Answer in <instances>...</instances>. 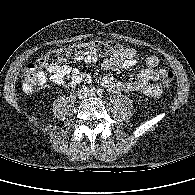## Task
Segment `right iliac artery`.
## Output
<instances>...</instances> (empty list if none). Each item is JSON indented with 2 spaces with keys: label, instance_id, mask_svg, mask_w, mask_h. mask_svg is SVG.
Segmentation results:
<instances>
[{
  "label": "right iliac artery",
  "instance_id": "1",
  "mask_svg": "<svg viewBox=\"0 0 195 195\" xmlns=\"http://www.w3.org/2000/svg\"><path fill=\"white\" fill-rule=\"evenodd\" d=\"M90 92H91V93H95V92H96V88H95V87H92V88L90 89Z\"/></svg>",
  "mask_w": 195,
  "mask_h": 195
}]
</instances>
